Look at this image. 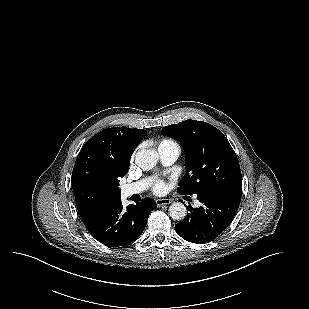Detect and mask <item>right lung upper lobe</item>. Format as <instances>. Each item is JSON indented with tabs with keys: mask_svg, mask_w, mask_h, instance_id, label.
Here are the masks:
<instances>
[{
	"mask_svg": "<svg viewBox=\"0 0 309 309\" xmlns=\"http://www.w3.org/2000/svg\"><path fill=\"white\" fill-rule=\"evenodd\" d=\"M145 130L108 128L94 135L81 149L71 184L83 222L120 200L117 181L126 175L130 158Z\"/></svg>",
	"mask_w": 309,
	"mask_h": 309,
	"instance_id": "right-lung-upper-lobe-1",
	"label": "right lung upper lobe"
}]
</instances>
